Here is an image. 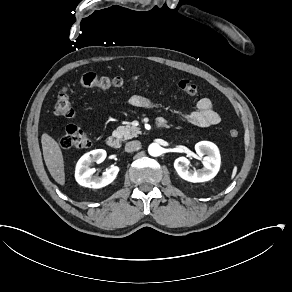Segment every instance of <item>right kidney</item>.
<instances>
[{
	"label": "right kidney",
	"mask_w": 292,
	"mask_h": 292,
	"mask_svg": "<svg viewBox=\"0 0 292 292\" xmlns=\"http://www.w3.org/2000/svg\"><path fill=\"white\" fill-rule=\"evenodd\" d=\"M107 156L103 149L93 150L78 161L76 166L75 178L79 185L87 188L100 189L111 184L117 177L120 168L114 166L103 173L101 178L93 177L95 169H90L95 162L102 163Z\"/></svg>",
	"instance_id": "right-kidney-1"
}]
</instances>
